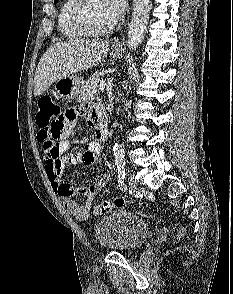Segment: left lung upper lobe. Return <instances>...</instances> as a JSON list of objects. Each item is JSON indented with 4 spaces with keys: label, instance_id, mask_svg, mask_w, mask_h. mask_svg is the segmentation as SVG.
<instances>
[{
    "label": "left lung upper lobe",
    "instance_id": "1",
    "mask_svg": "<svg viewBox=\"0 0 233 294\" xmlns=\"http://www.w3.org/2000/svg\"><path fill=\"white\" fill-rule=\"evenodd\" d=\"M58 2V0H54V3H57Z\"/></svg>",
    "mask_w": 233,
    "mask_h": 294
}]
</instances>
